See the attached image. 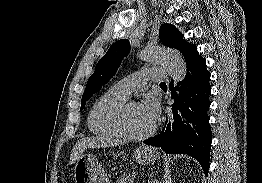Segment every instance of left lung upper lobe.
I'll return each mask as SVG.
<instances>
[{"mask_svg": "<svg viewBox=\"0 0 262 183\" xmlns=\"http://www.w3.org/2000/svg\"><path fill=\"white\" fill-rule=\"evenodd\" d=\"M159 37L163 45L179 50L185 59L197 50V47L187 43L180 32L171 24H162L160 26ZM129 51L130 45L126 39L119 40L111 45L107 53L97 63L94 73L88 79L82 96L81 110L85 107L86 101L116 73L121 60Z\"/></svg>", "mask_w": 262, "mask_h": 183, "instance_id": "1", "label": "left lung upper lobe"}]
</instances>
